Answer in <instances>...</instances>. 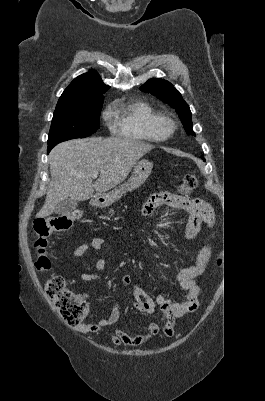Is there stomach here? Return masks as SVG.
I'll return each instance as SVG.
<instances>
[{
    "label": "stomach",
    "instance_id": "stomach-1",
    "mask_svg": "<svg viewBox=\"0 0 265 401\" xmlns=\"http://www.w3.org/2000/svg\"><path fill=\"white\" fill-rule=\"evenodd\" d=\"M152 168L153 164L150 162V160H147V158L138 160L134 166V170L130 178H128L126 182H123V184H120V186H116V188H113V190L107 192V194H102L103 198H99V196H97L95 205H99V207H109V205H112V203L118 201V198H121L124 192H128V190H133V188H138V186H141V184L145 182L146 178H148Z\"/></svg>",
    "mask_w": 265,
    "mask_h": 401
}]
</instances>
